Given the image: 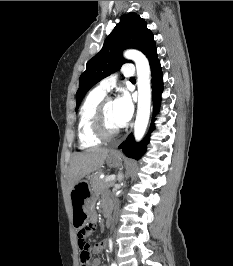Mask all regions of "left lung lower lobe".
Returning a JSON list of instances; mask_svg holds the SVG:
<instances>
[{"mask_svg":"<svg viewBox=\"0 0 233 266\" xmlns=\"http://www.w3.org/2000/svg\"><path fill=\"white\" fill-rule=\"evenodd\" d=\"M149 59L150 67H151V75H152V90H153V115L157 114L159 111L161 93L163 89V81H162V72L160 61L157 57L156 47H154L147 55ZM154 129V123L151 124V129ZM149 142V136L137 144L134 140L132 134H130L127 139L119 146L120 149L129 157H134L135 159H139L146 151V145Z\"/></svg>","mask_w":233,"mask_h":266,"instance_id":"left-lung-lower-lobe-1","label":"left lung lower lobe"}]
</instances>
